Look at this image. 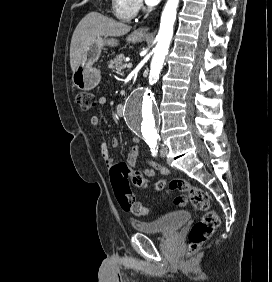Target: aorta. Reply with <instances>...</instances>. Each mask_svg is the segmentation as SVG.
Here are the masks:
<instances>
[{
  "label": "aorta",
  "mask_w": 272,
  "mask_h": 282,
  "mask_svg": "<svg viewBox=\"0 0 272 282\" xmlns=\"http://www.w3.org/2000/svg\"><path fill=\"white\" fill-rule=\"evenodd\" d=\"M179 0H167L161 16L157 44L146 82L129 94L125 103V121L128 127L145 139L158 140L159 113L154 98V85L158 81L165 56L173 36Z\"/></svg>",
  "instance_id": "aorta-1"
}]
</instances>
